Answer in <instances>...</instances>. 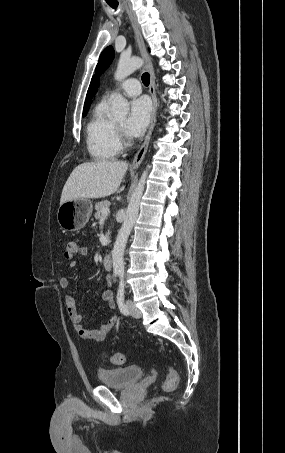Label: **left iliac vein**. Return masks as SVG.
Instances as JSON below:
<instances>
[{
  "label": "left iliac vein",
  "mask_w": 285,
  "mask_h": 453,
  "mask_svg": "<svg viewBox=\"0 0 285 453\" xmlns=\"http://www.w3.org/2000/svg\"><path fill=\"white\" fill-rule=\"evenodd\" d=\"M126 306L129 310V313L131 314V316H133L134 318H141L142 316V313L141 311L136 307L135 303L131 300H127L126 301Z\"/></svg>",
  "instance_id": "left-iliac-vein-1"
}]
</instances>
